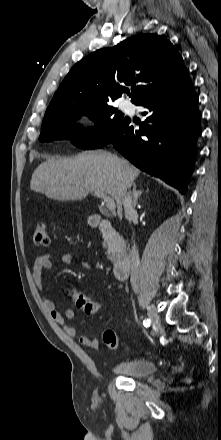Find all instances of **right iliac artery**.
I'll return each mask as SVG.
<instances>
[{"instance_id": "82829eb1", "label": "right iliac artery", "mask_w": 221, "mask_h": 440, "mask_svg": "<svg viewBox=\"0 0 221 440\" xmlns=\"http://www.w3.org/2000/svg\"><path fill=\"white\" fill-rule=\"evenodd\" d=\"M143 325H144L145 327H148V326L150 325V320H149V319H145V320L143 321Z\"/></svg>"}]
</instances>
